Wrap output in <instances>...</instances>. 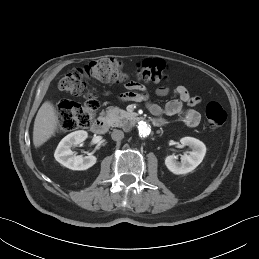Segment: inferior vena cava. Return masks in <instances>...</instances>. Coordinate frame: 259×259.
Returning <instances> with one entry per match:
<instances>
[{"label":"inferior vena cava","instance_id":"inferior-vena-cava-1","mask_svg":"<svg viewBox=\"0 0 259 259\" xmlns=\"http://www.w3.org/2000/svg\"><path fill=\"white\" fill-rule=\"evenodd\" d=\"M111 137L114 141H120L124 138V133L121 130L114 129L111 134Z\"/></svg>","mask_w":259,"mask_h":259}]
</instances>
